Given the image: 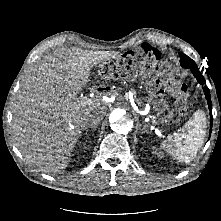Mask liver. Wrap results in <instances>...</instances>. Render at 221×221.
I'll use <instances>...</instances> for the list:
<instances>
[{
    "mask_svg": "<svg viewBox=\"0 0 221 221\" xmlns=\"http://www.w3.org/2000/svg\"><path fill=\"white\" fill-rule=\"evenodd\" d=\"M117 55V51L71 48L54 51L31 67L12 109L13 139L27 163L45 173L67 167L91 116L104 117L108 106L100 97L77 96L90 81V70Z\"/></svg>",
    "mask_w": 221,
    "mask_h": 221,
    "instance_id": "liver-1",
    "label": "liver"
}]
</instances>
